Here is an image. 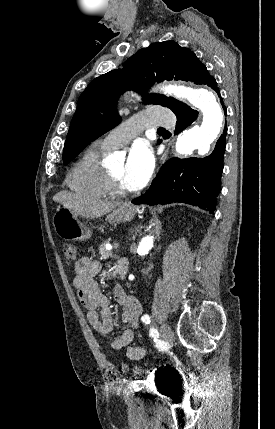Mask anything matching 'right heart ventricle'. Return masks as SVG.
Segmentation results:
<instances>
[{"label":"right heart ventricle","mask_w":275,"mask_h":429,"mask_svg":"<svg viewBox=\"0 0 275 429\" xmlns=\"http://www.w3.org/2000/svg\"><path fill=\"white\" fill-rule=\"evenodd\" d=\"M108 149L101 142L92 144L75 164L68 177L71 190L94 199H104L111 194L107 169L101 158Z\"/></svg>","instance_id":"e07e8e85"}]
</instances>
